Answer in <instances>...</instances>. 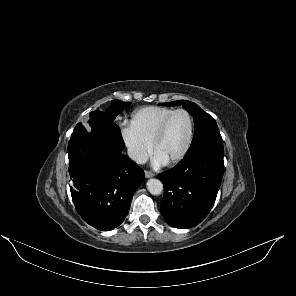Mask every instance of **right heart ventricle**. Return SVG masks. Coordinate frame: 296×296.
Instances as JSON below:
<instances>
[{
    "label": "right heart ventricle",
    "mask_w": 296,
    "mask_h": 296,
    "mask_svg": "<svg viewBox=\"0 0 296 296\" xmlns=\"http://www.w3.org/2000/svg\"><path fill=\"white\" fill-rule=\"evenodd\" d=\"M174 109L162 106H150L135 111L130 121V127L147 144L151 145L162 121Z\"/></svg>",
    "instance_id": "right-heart-ventricle-1"
}]
</instances>
